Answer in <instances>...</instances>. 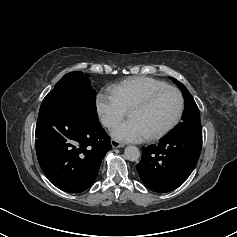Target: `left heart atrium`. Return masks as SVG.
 <instances>
[{
    "label": "left heart atrium",
    "instance_id": "obj_1",
    "mask_svg": "<svg viewBox=\"0 0 237 237\" xmlns=\"http://www.w3.org/2000/svg\"><path fill=\"white\" fill-rule=\"evenodd\" d=\"M112 135L115 139L124 142H141L148 137L141 125L134 119H129L116 126Z\"/></svg>",
    "mask_w": 237,
    "mask_h": 237
}]
</instances>
